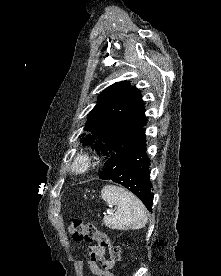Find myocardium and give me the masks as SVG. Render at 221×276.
Segmentation results:
<instances>
[{
    "instance_id": "obj_1",
    "label": "myocardium",
    "mask_w": 221,
    "mask_h": 276,
    "mask_svg": "<svg viewBox=\"0 0 221 276\" xmlns=\"http://www.w3.org/2000/svg\"><path fill=\"white\" fill-rule=\"evenodd\" d=\"M93 166V156L88 152L77 153L71 162L72 170L77 174L87 173Z\"/></svg>"
}]
</instances>
